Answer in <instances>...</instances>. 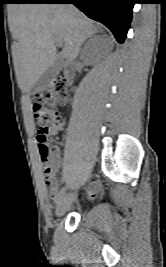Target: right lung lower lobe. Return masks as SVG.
Wrapping results in <instances>:
<instances>
[{"label":"right lung lower lobe","instance_id":"1","mask_svg":"<svg viewBox=\"0 0 166 267\" xmlns=\"http://www.w3.org/2000/svg\"><path fill=\"white\" fill-rule=\"evenodd\" d=\"M20 3H72L91 19L106 25L117 41L123 43L135 0H22Z\"/></svg>","mask_w":166,"mask_h":267}]
</instances>
